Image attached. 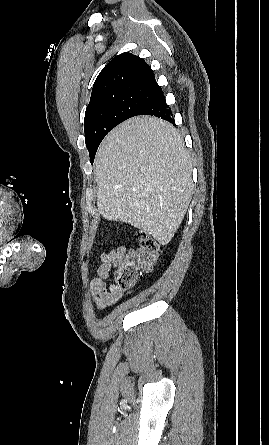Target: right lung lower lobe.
I'll use <instances>...</instances> for the list:
<instances>
[{
  "label": "right lung lower lobe",
  "mask_w": 269,
  "mask_h": 445,
  "mask_svg": "<svg viewBox=\"0 0 269 445\" xmlns=\"http://www.w3.org/2000/svg\"><path fill=\"white\" fill-rule=\"evenodd\" d=\"M156 88L160 92L159 96L154 101L147 104L138 113V115H154L156 117H160L167 121L173 122L172 117H171L172 112H171L170 107L166 104V100H165L163 91L159 86H157Z\"/></svg>",
  "instance_id": "right-lung-lower-lobe-1"
}]
</instances>
